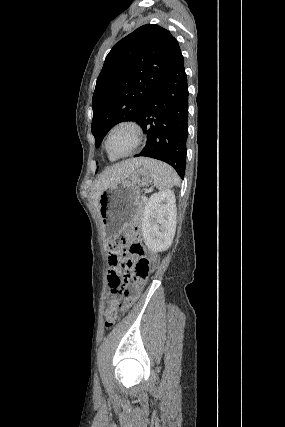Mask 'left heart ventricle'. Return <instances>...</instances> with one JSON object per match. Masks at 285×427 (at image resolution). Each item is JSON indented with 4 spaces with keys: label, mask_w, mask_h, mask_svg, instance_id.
<instances>
[{
    "label": "left heart ventricle",
    "mask_w": 285,
    "mask_h": 427,
    "mask_svg": "<svg viewBox=\"0 0 285 427\" xmlns=\"http://www.w3.org/2000/svg\"><path fill=\"white\" fill-rule=\"evenodd\" d=\"M134 134L126 127L113 131L108 140V147L112 153L122 154L131 149L134 144Z\"/></svg>",
    "instance_id": "obj_1"
}]
</instances>
